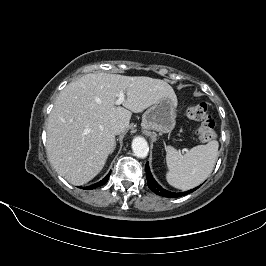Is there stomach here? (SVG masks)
I'll return each instance as SVG.
<instances>
[{"label": "stomach", "instance_id": "stomach-1", "mask_svg": "<svg viewBox=\"0 0 266 266\" xmlns=\"http://www.w3.org/2000/svg\"><path fill=\"white\" fill-rule=\"evenodd\" d=\"M176 106L169 97L160 99L143 114V128L163 133L171 132L176 123Z\"/></svg>", "mask_w": 266, "mask_h": 266}]
</instances>
